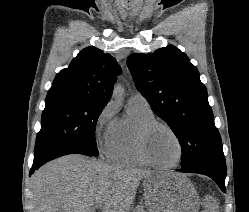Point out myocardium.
<instances>
[{"mask_svg":"<svg viewBox=\"0 0 249 212\" xmlns=\"http://www.w3.org/2000/svg\"><path fill=\"white\" fill-rule=\"evenodd\" d=\"M156 128H161L167 131L168 133H170L175 138L176 142L178 143L179 157L175 163L159 164L155 162L149 155L148 150H147V139H148L149 134ZM135 140H136L137 151H138L140 158L149 166H152L158 169H174L178 167L183 161V158L185 155V148H184L183 142L181 138L179 137V135L175 132V130L171 128L169 125H167L166 123L160 122L158 120H150V121H147L141 124L136 130Z\"/></svg>","mask_w":249,"mask_h":212,"instance_id":"myocardium-1","label":"myocardium"}]
</instances>
